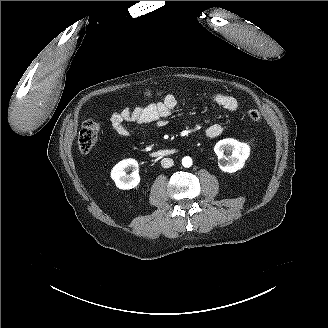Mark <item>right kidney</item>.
<instances>
[{"mask_svg":"<svg viewBox=\"0 0 328 328\" xmlns=\"http://www.w3.org/2000/svg\"><path fill=\"white\" fill-rule=\"evenodd\" d=\"M129 167H138V162L135 159L128 158L120 161L112 168L110 177L118 189L129 190L139 185L140 176L138 171H134L130 177L127 176L125 170Z\"/></svg>","mask_w":328,"mask_h":328,"instance_id":"ca27d5eb","label":"right kidney"}]
</instances>
